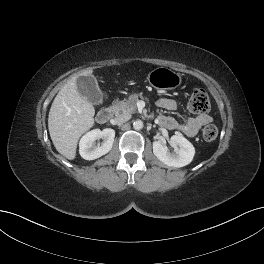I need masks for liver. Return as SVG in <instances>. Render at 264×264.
Wrapping results in <instances>:
<instances>
[{"mask_svg": "<svg viewBox=\"0 0 264 264\" xmlns=\"http://www.w3.org/2000/svg\"><path fill=\"white\" fill-rule=\"evenodd\" d=\"M92 69L72 77L56 95L48 116V129L56 150L69 160L76 157L79 138L94 125L95 109L78 92L76 81Z\"/></svg>", "mask_w": 264, "mask_h": 264, "instance_id": "1", "label": "liver"}]
</instances>
